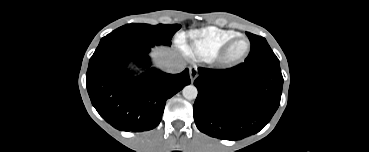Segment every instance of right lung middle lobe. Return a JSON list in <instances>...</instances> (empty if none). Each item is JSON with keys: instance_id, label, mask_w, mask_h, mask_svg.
<instances>
[{"instance_id": "dd1d6c3e", "label": "right lung middle lobe", "mask_w": 369, "mask_h": 152, "mask_svg": "<svg viewBox=\"0 0 369 152\" xmlns=\"http://www.w3.org/2000/svg\"><path fill=\"white\" fill-rule=\"evenodd\" d=\"M181 28L180 25H149L127 24L103 37L100 42L118 37H131L155 45H171L173 35Z\"/></svg>"}]
</instances>
